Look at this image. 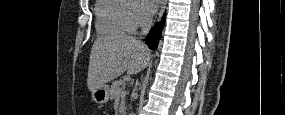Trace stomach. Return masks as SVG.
<instances>
[{"mask_svg":"<svg viewBox=\"0 0 285 115\" xmlns=\"http://www.w3.org/2000/svg\"><path fill=\"white\" fill-rule=\"evenodd\" d=\"M110 96V90L108 85H103L99 88H96L92 92V98L97 104H105L108 102Z\"/></svg>","mask_w":285,"mask_h":115,"instance_id":"stomach-1","label":"stomach"}]
</instances>
